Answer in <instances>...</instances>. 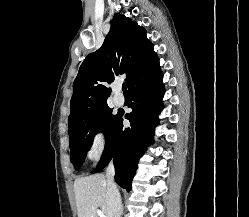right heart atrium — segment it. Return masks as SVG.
I'll return each mask as SVG.
<instances>
[{
	"mask_svg": "<svg viewBox=\"0 0 249 217\" xmlns=\"http://www.w3.org/2000/svg\"><path fill=\"white\" fill-rule=\"evenodd\" d=\"M105 144V134L103 131L98 130L92 135L88 156L90 158H97L101 154Z\"/></svg>",
	"mask_w": 249,
	"mask_h": 217,
	"instance_id": "right-heart-atrium-1",
	"label": "right heart atrium"
}]
</instances>
